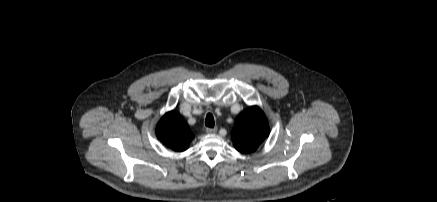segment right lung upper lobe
<instances>
[{
    "label": "right lung upper lobe",
    "instance_id": "1",
    "mask_svg": "<svg viewBox=\"0 0 437 202\" xmlns=\"http://www.w3.org/2000/svg\"><path fill=\"white\" fill-rule=\"evenodd\" d=\"M156 135L163 144L178 152L188 149L194 137L188 124L175 110L161 118L156 127Z\"/></svg>",
    "mask_w": 437,
    "mask_h": 202
}]
</instances>
